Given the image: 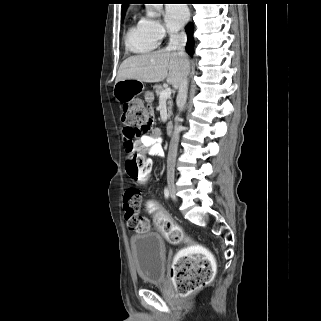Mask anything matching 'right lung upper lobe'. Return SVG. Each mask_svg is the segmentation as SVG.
Instances as JSON below:
<instances>
[{"label": "right lung upper lobe", "instance_id": "obj_1", "mask_svg": "<svg viewBox=\"0 0 321 321\" xmlns=\"http://www.w3.org/2000/svg\"><path fill=\"white\" fill-rule=\"evenodd\" d=\"M122 14L125 13L127 7H128V4L131 3V0H122Z\"/></svg>", "mask_w": 321, "mask_h": 321}]
</instances>
